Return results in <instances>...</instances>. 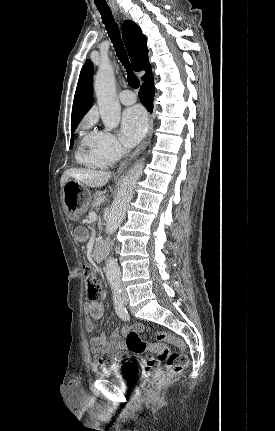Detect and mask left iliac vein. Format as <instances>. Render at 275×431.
<instances>
[{"label":"left iliac vein","mask_w":275,"mask_h":431,"mask_svg":"<svg viewBox=\"0 0 275 431\" xmlns=\"http://www.w3.org/2000/svg\"><path fill=\"white\" fill-rule=\"evenodd\" d=\"M122 299H123L124 304H128L129 299H128V295L125 291L122 292Z\"/></svg>","instance_id":"left-iliac-vein-1"}]
</instances>
